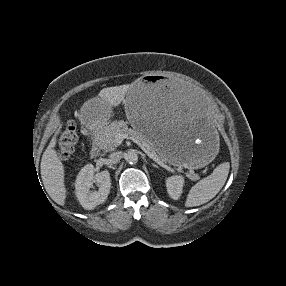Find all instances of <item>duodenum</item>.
<instances>
[{"label": "duodenum", "instance_id": "obj_1", "mask_svg": "<svg viewBox=\"0 0 286 286\" xmlns=\"http://www.w3.org/2000/svg\"><path fill=\"white\" fill-rule=\"evenodd\" d=\"M100 151H101L100 147L97 144L96 137L94 136L93 137V145H92L91 150H90V157L91 158H97L100 155Z\"/></svg>", "mask_w": 286, "mask_h": 286}]
</instances>
